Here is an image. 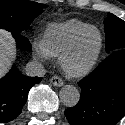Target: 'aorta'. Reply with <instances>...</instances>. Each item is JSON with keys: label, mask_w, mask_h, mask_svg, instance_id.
Instances as JSON below:
<instances>
[{"label": "aorta", "mask_w": 125, "mask_h": 125, "mask_svg": "<svg viewBox=\"0 0 125 125\" xmlns=\"http://www.w3.org/2000/svg\"><path fill=\"white\" fill-rule=\"evenodd\" d=\"M59 97L61 102L67 107L75 106L79 99L80 93L75 86L72 85H65L61 88Z\"/></svg>", "instance_id": "aorta-1"}]
</instances>
